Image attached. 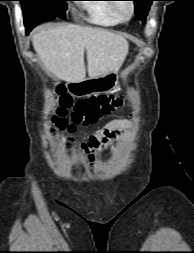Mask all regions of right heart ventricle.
I'll return each instance as SVG.
<instances>
[{
  "instance_id": "e07e8e85",
  "label": "right heart ventricle",
  "mask_w": 194,
  "mask_h": 253,
  "mask_svg": "<svg viewBox=\"0 0 194 253\" xmlns=\"http://www.w3.org/2000/svg\"><path fill=\"white\" fill-rule=\"evenodd\" d=\"M89 20L102 26H115L121 21L116 16L110 0H90L81 4Z\"/></svg>"
}]
</instances>
